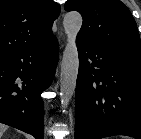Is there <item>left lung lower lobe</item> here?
I'll return each mask as SVG.
<instances>
[{"instance_id":"left-lung-lower-lobe-1","label":"left lung lower lobe","mask_w":141,"mask_h":139,"mask_svg":"<svg viewBox=\"0 0 141 139\" xmlns=\"http://www.w3.org/2000/svg\"><path fill=\"white\" fill-rule=\"evenodd\" d=\"M75 139H141V56L77 37Z\"/></svg>"}]
</instances>
